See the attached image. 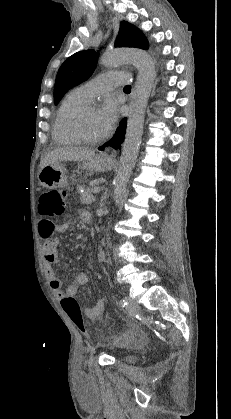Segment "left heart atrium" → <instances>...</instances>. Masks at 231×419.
Listing matches in <instances>:
<instances>
[{
  "label": "left heart atrium",
  "instance_id": "1",
  "mask_svg": "<svg viewBox=\"0 0 231 419\" xmlns=\"http://www.w3.org/2000/svg\"><path fill=\"white\" fill-rule=\"evenodd\" d=\"M104 134L110 132L118 117V105L113 98H109L98 112Z\"/></svg>",
  "mask_w": 231,
  "mask_h": 419
}]
</instances>
